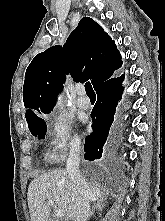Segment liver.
<instances>
[{"mask_svg":"<svg viewBox=\"0 0 165 221\" xmlns=\"http://www.w3.org/2000/svg\"><path fill=\"white\" fill-rule=\"evenodd\" d=\"M87 185L93 194L92 200L104 197L100 188ZM27 200L32 221H50L49 200L65 212L66 221H74L76 217V192L65 170H54L36 176L28 187Z\"/></svg>","mask_w":165,"mask_h":221,"instance_id":"6515ba94","label":"liver"}]
</instances>
